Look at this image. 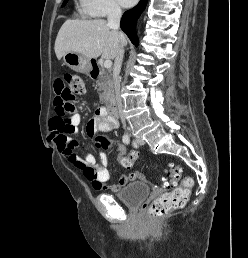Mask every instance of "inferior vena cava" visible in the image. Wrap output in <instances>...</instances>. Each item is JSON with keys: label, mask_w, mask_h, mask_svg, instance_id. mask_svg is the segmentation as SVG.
<instances>
[{"label": "inferior vena cava", "mask_w": 248, "mask_h": 258, "mask_svg": "<svg viewBox=\"0 0 248 258\" xmlns=\"http://www.w3.org/2000/svg\"><path fill=\"white\" fill-rule=\"evenodd\" d=\"M121 14L122 12L119 5H117L116 3H111L109 5V9L107 13L108 26L111 29L116 30L120 35H121V32H119V28H120ZM123 56H124V48H123V45L120 44L114 60L113 82H114L115 98H116L118 112H119L122 124L124 128H126V120H125V114L123 111V104H122V98L120 93V78H119Z\"/></svg>", "instance_id": "obj_1"}]
</instances>
